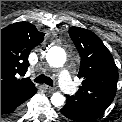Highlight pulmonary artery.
<instances>
[{
	"instance_id": "1",
	"label": "pulmonary artery",
	"mask_w": 122,
	"mask_h": 122,
	"mask_svg": "<svg viewBox=\"0 0 122 122\" xmlns=\"http://www.w3.org/2000/svg\"><path fill=\"white\" fill-rule=\"evenodd\" d=\"M58 82L65 93L73 94L76 90L68 70L62 69L58 74Z\"/></svg>"
}]
</instances>
